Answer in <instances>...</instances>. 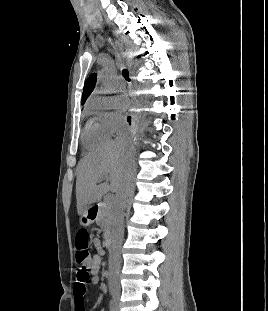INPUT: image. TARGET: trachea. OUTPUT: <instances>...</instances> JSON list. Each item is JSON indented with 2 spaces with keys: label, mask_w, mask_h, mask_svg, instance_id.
Listing matches in <instances>:
<instances>
[{
  "label": "trachea",
  "mask_w": 268,
  "mask_h": 311,
  "mask_svg": "<svg viewBox=\"0 0 268 311\" xmlns=\"http://www.w3.org/2000/svg\"><path fill=\"white\" fill-rule=\"evenodd\" d=\"M122 75H123V77H124L127 81H130L129 72H128L127 69H123V70H122Z\"/></svg>",
  "instance_id": "trachea-1"
}]
</instances>
